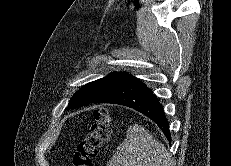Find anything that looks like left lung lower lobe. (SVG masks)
<instances>
[{"instance_id":"1","label":"left lung lower lobe","mask_w":231,"mask_h":166,"mask_svg":"<svg viewBox=\"0 0 231 166\" xmlns=\"http://www.w3.org/2000/svg\"><path fill=\"white\" fill-rule=\"evenodd\" d=\"M92 103H111L133 108L153 120L166 138L171 141L169 123L161 104L153 91L136 77L129 79Z\"/></svg>"}]
</instances>
